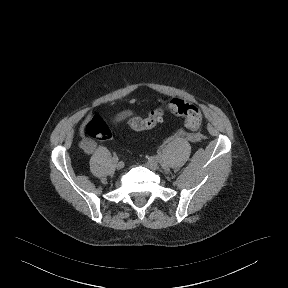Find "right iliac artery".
<instances>
[{
    "mask_svg": "<svg viewBox=\"0 0 288 288\" xmlns=\"http://www.w3.org/2000/svg\"><path fill=\"white\" fill-rule=\"evenodd\" d=\"M113 160L118 161V156H117L116 154H114V156H113Z\"/></svg>",
    "mask_w": 288,
    "mask_h": 288,
    "instance_id": "82829eb1",
    "label": "right iliac artery"
}]
</instances>
